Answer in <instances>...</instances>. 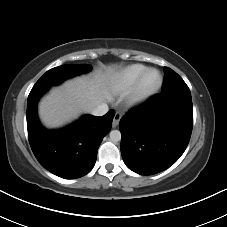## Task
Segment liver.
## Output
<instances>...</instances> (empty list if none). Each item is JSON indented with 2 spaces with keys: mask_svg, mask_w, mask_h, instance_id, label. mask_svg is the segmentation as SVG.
Listing matches in <instances>:
<instances>
[{
  "mask_svg": "<svg viewBox=\"0 0 227 227\" xmlns=\"http://www.w3.org/2000/svg\"><path fill=\"white\" fill-rule=\"evenodd\" d=\"M118 80L115 67L78 77L53 89L39 104V115L47 127L55 128L91 112L114 88Z\"/></svg>",
  "mask_w": 227,
  "mask_h": 227,
  "instance_id": "obj_1",
  "label": "liver"
}]
</instances>
